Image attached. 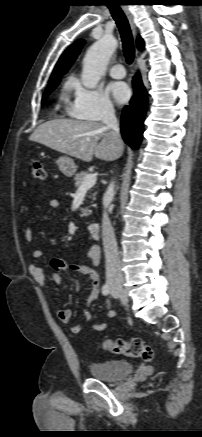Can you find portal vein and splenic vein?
<instances>
[{"mask_svg": "<svg viewBox=\"0 0 202 437\" xmlns=\"http://www.w3.org/2000/svg\"><path fill=\"white\" fill-rule=\"evenodd\" d=\"M96 180H97V175L96 174H89V175H87L84 178L81 186L79 187V190L82 191V190L90 189L92 186L95 185Z\"/></svg>", "mask_w": 202, "mask_h": 437, "instance_id": "1", "label": "portal vein and splenic vein"}]
</instances>
